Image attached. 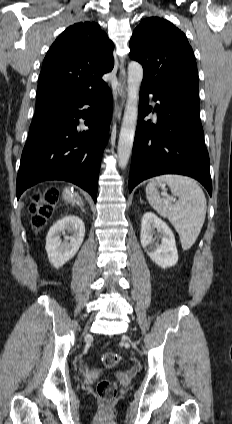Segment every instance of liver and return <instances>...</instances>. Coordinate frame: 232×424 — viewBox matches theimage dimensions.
Here are the masks:
<instances>
[{"label": "liver", "instance_id": "6515ba94", "mask_svg": "<svg viewBox=\"0 0 232 424\" xmlns=\"http://www.w3.org/2000/svg\"><path fill=\"white\" fill-rule=\"evenodd\" d=\"M77 197H78V194L69 189H65L63 192V199L68 203H73V201H75Z\"/></svg>", "mask_w": 232, "mask_h": 424}]
</instances>
